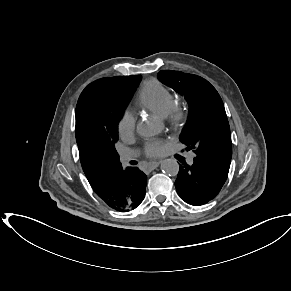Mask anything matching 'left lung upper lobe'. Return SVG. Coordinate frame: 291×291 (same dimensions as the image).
Returning <instances> with one entry per match:
<instances>
[{
	"mask_svg": "<svg viewBox=\"0 0 291 291\" xmlns=\"http://www.w3.org/2000/svg\"><path fill=\"white\" fill-rule=\"evenodd\" d=\"M158 79L185 97L189 104L187 123L180 135L186 150L196 159L228 174L231 157L230 127L222 99L216 89L200 76L161 70Z\"/></svg>",
	"mask_w": 291,
	"mask_h": 291,
	"instance_id": "1",
	"label": "left lung upper lobe"
}]
</instances>
